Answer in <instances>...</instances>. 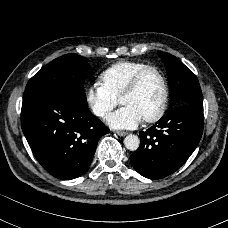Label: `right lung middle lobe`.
I'll list each match as a JSON object with an SVG mask.
<instances>
[{
	"mask_svg": "<svg viewBox=\"0 0 228 228\" xmlns=\"http://www.w3.org/2000/svg\"><path fill=\"white\" fill-rule=\"evenodd\" d=\"M88 66V59L82 56H61L35 74L29 80L25 92L41 88L60 89L86 102L83 85Z\"/></svg>",
	"mask_w": 228,
	"mask_h": 228,
	"instance_id": "dd1d6c3e",
	"label": "right lung middle lobe"
}]
</instances>
